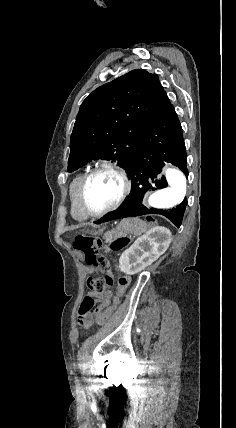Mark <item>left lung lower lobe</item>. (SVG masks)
<instances>
[{
	"mask_svg": "<svg viewBox=\"0 0 236 428\" xmlns=\"http://www.w3.org/2000/svg\"><path fill=\"white\" fill-rule=\"evenodd\" d=\"M163 161L172 163L186 177L188 176L183 130L173 105H170L147 126L138 141L137 148L126 167L132 181L131 192L127 200L117 210L105 215L95 223L100 224L146 214H161L179 227L187 205L186 198L180 205L170 210L148 209L141 204L143 196L148 191L167 187V181L161 175Z\"/></svg>",
	"mask_w": 236,
	"mask_h": 428,
	"instance_id": "0a47b994",
	"label": "left lung lower lobe"
}]
</instances>
